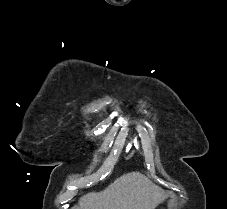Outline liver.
Returning a JSON list of instances; mask_svg holds the SVG:
<instances>
[{"mask_svg":"<svg viewBox=\"0 0 227 209\" xmlns=\"http://www.w3.org/2000/svg\"><path fill=\"white\" fill-rule=\"evenodd\" d=\"M161 193L147 177L128 173L111 183L101 193L81 197L79 209H156Z\"/></svg>","mask_w":227,"mask_h":209,"instance_id":"obj_1","label":"liver"}]
</instances>
